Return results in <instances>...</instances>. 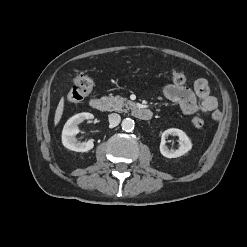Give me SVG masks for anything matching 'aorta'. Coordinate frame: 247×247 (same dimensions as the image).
I'll use <instances>...</instances> for the list:
<instances>
[{"instance_id":"obj_1","label":"aorta","mask_w":247,"mask_h":247,"mask_svg":"<svg viewBox=\"0 0 247 247\" xmlns=\"http://www.w3.org/2000/svg\"><path fill=\"white\" fill-rule=\"evenodd\" d=\"M122 129L126 132H131L134 129L135 123L134 120H132L131 118H125L122 121Z\"/></svg>"}]
</instances>
